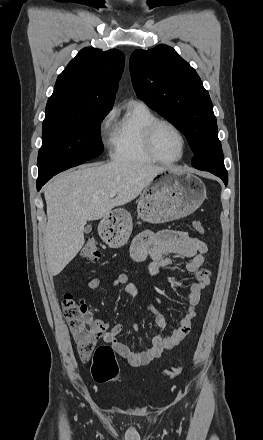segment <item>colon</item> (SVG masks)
Returning <instances> with one entry per match:
<instances>
[{
  "label": "colon",
  "mask_w": 263,
  "mask_h": 440,
  "mask_svg": "<svg viewBox=\"0 0 263 440\" xmlns=\"http://www.w3.org/2000/svg\"><path fill=\"white\" fill-rule=\"evenodd\" d=\"M195 230L203 234L204 226L201 222L193 223ZM81 255L88 261L95 262L100 258V251L95 240L88 239L84 244ZM64 317L76 340L77 354L83 361L92 359V376L97 382H110L118 378L119 370L114 352L108 345H97L99 330L95 325V319L87 306L80 299H75L71 294L64 295L62 299ZM182 370L180 364L171 366L164 372L166 380L177 376Z\"/></svg>",
  "instance_id": "5ec220e1"
}]
</instances>
